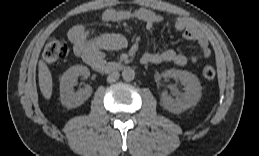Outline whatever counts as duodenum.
Returning <instances> with one entry per match:
<instances>
[{
  "label": "duodenum",
  "instance_id": "obj_1",
  "mask_svg": "<svg viewBox=\"0 0 259 156\" xmlns=\"http://www.w3.org/2000/svg\"><path fill=\"white\" fill-rule=\"evenodd\" d=\"M125 68L126 66L124 64L118 63V62H111V63L100 62L94 66V69L101 73L122 71Z\"/></svg>",
  "mask_w": 259,
  "mask_h": 156
}]
</instances>
